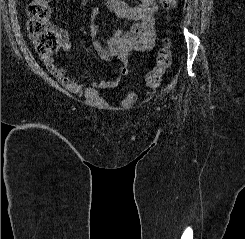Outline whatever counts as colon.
<instances>
[{
	"label": "colon",
	"mask_w": 245,
	"mask_h": 239,
	"mask_svg": "<svg viewBox=\"0 0 245 239\" xmlns=\"http://www.w3.org/2000/svg\"><path fill=\"white\" fill-rule=\"evenodd\" d=\"M51 0H32L26 8L28 15L27 32L36 52L41 56L55 53L60 46L59 35L49 27L52 16ZM177 4V0H161L165 12L169 14ZM172 63V43L169 38L164 39L158 51L155 67L144 77V83L149 88L160 86L162 77Z\"/></svg>",
	"instance_id": "colon-1"
}]
</instances>
